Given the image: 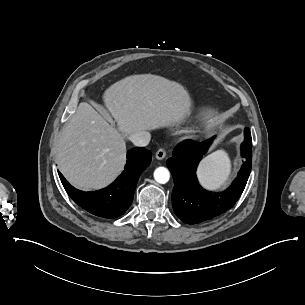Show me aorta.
I'll use <instances>...</instances> for the list:
<instances>
[{"label":"aorta","mask_w":305,"mask_h":305,"mask_svg":"<svg viewBox=\"0 0 305 305\" xmlns=\"http://www.w3.org/2000/svg\"><path fill=\"white\" fill-rule=\"evenodd\" d=\"M170 173L169 170L165 167H158L154 171V179L160 183L165 184L169 181Z\"/></svg>","instance_id":"obj_1"}]
</instances>
